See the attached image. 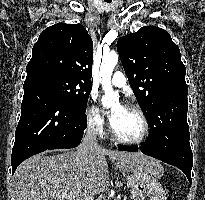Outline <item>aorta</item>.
Returning a JSON list of instances; mask_svg holds the SVG:
<instances>
[{"label": "aorta", "instance_id": "1", "mask_svg": "<svg viewBox=\"0 0 205 200\" xmlns=\"http://www.w3.org/2000/svg\"><path fill=\"white\" fill-rule=\"evenodd\" d=\"M118 58L119 56L115 51L103 55L100 67V77L102 88L105 93L102 98V104L104 107L117 106L119 104L118 93L113 90L111 83L112 72L118 62Z\"/></svg>", "mask_w": 205, "mask_h": 200}]
</instances>
